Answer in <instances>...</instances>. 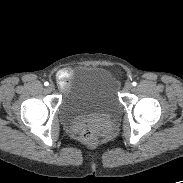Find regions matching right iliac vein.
<instances>
[{"mask_svg":"<svg viewBox=\"0 0 183 183\" xmlns=\"http://www.w3.org/2000/svg\"><path fill=\"white\" fill-rule=\"evenodd\" d=\"M54 89H55V86L53 84L48 85L49 91H54Z\"/></svg>","mask_w":183,"mask_h":183,"instance_id":"1","label":"right iliac vein"}]
</instances>
